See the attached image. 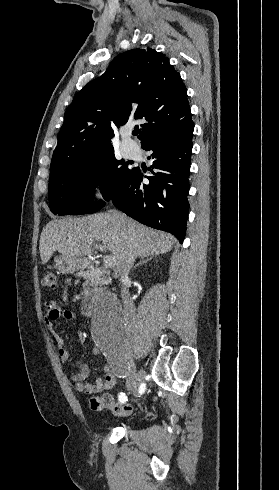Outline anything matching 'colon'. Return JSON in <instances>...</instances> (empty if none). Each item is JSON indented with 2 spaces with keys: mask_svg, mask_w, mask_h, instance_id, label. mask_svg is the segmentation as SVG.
<instances>
[{
  "mask_svg": "<svg viewBox=\"0 0 279 490\" xmlns=\"http://www.w3.org/2000/svg\"><path fill=\"white\" fill-rule=\"evenodd\" d=\"M57 283V275L51 270H47L41 279V285L45 289H55L57 287ZM89 407L92 411L108 409L118 417L128 416L132 413V407L130 405L117 403L108 392L91 395L89 399Z\"/></svg>",
  "mask_w": 279,
  "mask_h": 490,
  "instance_id": "obj_1",
  "label": "colon"
}]
</instances>
